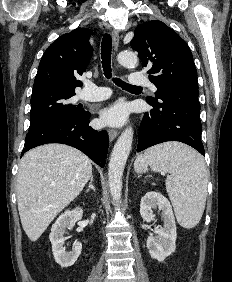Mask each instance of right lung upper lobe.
Segmentation results:
<instances>
[{
  "instance_id": "1",
  "label": "right lung upper lobe",
  "mask_w": 232,
  "mask_h": 282,
  "mask_svg": "<svg viewBox=\"0 0 232 282\" xmlns=\"http://www.w3.org/2000/svg\"><path fill=\"white\" fill-rule=\"evenodd\" d=\"M92 32L77 28L60 36L45 51L39 63L33 91L46 89L74 90L82 86L76 77L86 70L93 55L89 44Z\"/></svg>"
}]
</instances>
